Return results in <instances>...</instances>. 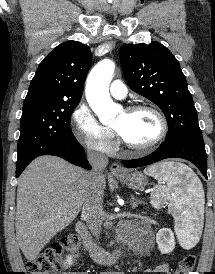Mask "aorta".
<instances>
[{"label": "aorta", "instance_id": "obj_1", "mask_svg": "<svg viewBox=\"0 0 215 274\" xmlns=\"http://www.w3.org/2000/svg\"><path fill=\"white\" fill-rule=\"evenodd\" d=\"M115 64L109 59L100 61L90 72L86 85V98L103 124L110 123L122 107L113 102L109 94Z\"/></svg>", "mask_w": 215, "mask_h": 274}]
</instances>
